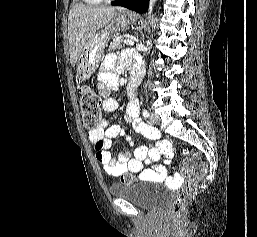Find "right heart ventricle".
I'll return each instance as SVG.
<instances>
[{
    "label": "right heart ventricle",
    "instance_id": "1",
    "mask_svg": "<svg viewBox=\"0 0 257 237\" xmlns=\"http://www.w3.org/2000/svg\"><path fill=\"white\" fill-rule=\"evenodd\" d=\"M84 3L88 5H98L100 4L103 0H83Z\"/></svg>",
    "mask_w": 257,
    "mask_h": 237
}]
</instances>
